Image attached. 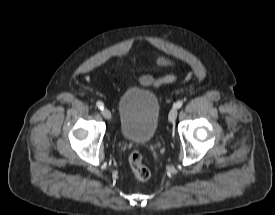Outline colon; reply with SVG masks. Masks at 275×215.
Listing matches in <instances>:
<instances>
[{
	"mask_svg": "<svg viewBox=\"0 0 275 215\" xmlns=\"http://www.w3.org/2000/svg\"><path fill=\"white\" fill-rule=\"evenodd\" d=\"M128 162L136 179L146 181L150 178L151 172L149 168L143 164L140 151L133 150L128 157Z\"/></svg>",
	"mask_w": 275,
	"mask_h": 215,
	"instance_id": "5ec220e1",
	"label": "colon"
}]
</instances>
